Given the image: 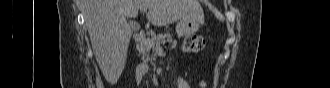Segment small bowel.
<instances>
[{"label":"small bowel","instance_id":"c3829d8e","mask_svg":"<svg viewBox=\"0 0 330 88\" xmlns=\"http://www.w3.org/2000/svg\"><path fill=\"white\" fill-rule=\"evenodd\" d=\"M177 88H190L189 83L182 77L178 78Z\"/></svg>","mask_w":330,"mask_h":88}]
</instances>
